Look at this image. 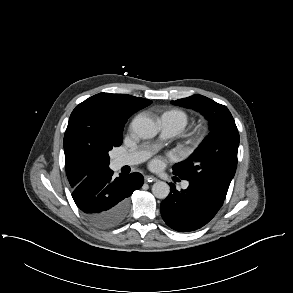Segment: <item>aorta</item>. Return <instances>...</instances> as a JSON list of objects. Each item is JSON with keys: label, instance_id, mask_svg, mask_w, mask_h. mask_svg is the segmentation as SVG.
<instances>
[{"label": "aorta", "instance_id": "aorta-1", "mask_svg": "<svg viewBox=\"0 0 293 293\" xmlns=\"http://www.w3.org/2000/svg\"><path fill=\"white\" fill-rule=\"evenodd\" d=\"M133 131L143 139L155 137L159 130V124L145 114L137 115L132 121ZM152 193L158 199H165L170 193V186L162 181L156 182L152 186Z\"/></svg>", "mask_w": 293, "mask_h": 293}]
</instances>
